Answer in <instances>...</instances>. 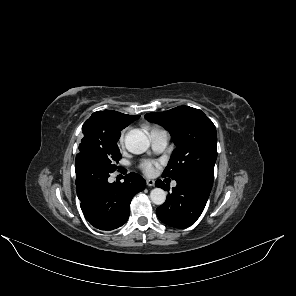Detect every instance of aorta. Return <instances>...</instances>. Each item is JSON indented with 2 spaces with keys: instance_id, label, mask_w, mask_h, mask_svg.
<instances>
[{
  "instance_id": "obj_1",
  "label": "aorta",
  "mask_w": 296,
  "mask_h": 296,
  "mask_svg": "<svg viewBox=\"0 0 296 296\" xmlns=\"http://www.w3.org/2000/svg\"><path fill=\"white\" fill-rule=\"evenodd\" d=\"M126 149L133 154H142L150 146L147 135L138 129L131 130L125 137ZM150 199L156 205H162L166 201V192L161 188H154L150 192Z\"/></svg>"
}]
</instances>
